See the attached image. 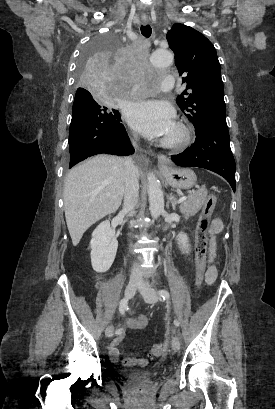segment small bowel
Masks as SVG:
<instances>
[{
  "instance_id": "obj_1",
  "label": "small bowel",
  "mask_w": 275,
  "mask_h": 409,
  "mask_svg": "<svg viewBox=\"0 0 275 409\" xmlns=\"http://www.w3.org/2000/svg\"><path fill=\"white\" fill-rule=\"evenodd\" d=\"M221 230H222V222L219 218H215L211 225V243H210V251H209V258H208V262L211 266L208 268L209 271L213 268L216 269V267L214 266L215 261H216V249H217L216 236ZM216 277L214 279H211L209 276H207L206 280L209 284H212L215 281ZM126 324L131 329H143L148 326L149 319L145 315L133 316L126 320ZM121 340H122V335L119 334L110 343L109 354L114 361H121L123 365H128V366H144L147 364V360L139 359L134 356L121 359V353L118 348V345Z\"/></svg>"
}]
</instances>
